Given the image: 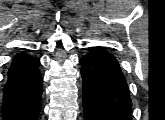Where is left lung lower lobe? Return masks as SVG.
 <instances>
[{
    "mask_svg": "<svg viewBox=\"0 0 165 120\" xmlns=\"http://www.w3.org/2000/svg\"><path fill=\"white\" fill-rule=\"evenodd\" d=\"M80 63L85 120H132V101L117 59L96 47Z\"/></svg>",
    "mask_w": 165,
    "mask_h": 120,
    "instance_id": "obj_1",
    "label": "left lung lower lobe"
}]
</instances>
